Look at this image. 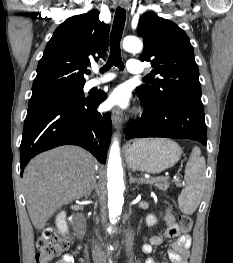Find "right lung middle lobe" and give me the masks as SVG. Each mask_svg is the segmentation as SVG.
Masks as SVG:
<instances>
[{
    "label": "right lung middle lobe",
    "instance_id": "right-lung-middle-lobe-1",
    "mask_svg": "<svg viewBox=\"0 0 233 263\" xmlns=\"http://www.w3.org/2000/svg\"><path fill=\"white\" fill-rule=\"evenodd\" d=\"M82 88L83 86H80L72 89L32 96L29 100V106L54 100H85L86 98L84 97Z\"/></svg>",
    "mask_w": 233,
    "mask_h": 263
}]
</instances>
